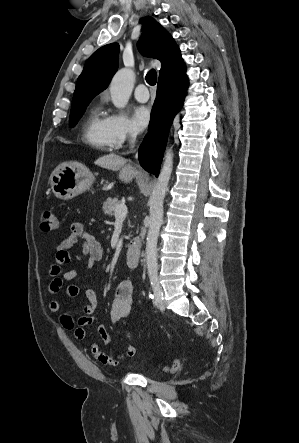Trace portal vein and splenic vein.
I'll return each mask as SVG.
<instances>
[{
    "label": "portal vein and splenic vein",
    "mask_w": 299,
    "mask_h": 443,
    "mask_svg": "<svg viewBox=\"0 0 299 443\" xmlns=\"http://www.w3.org/2000/svg\"><path fill=\"white\" fill-rule=\"evenodd\" d=\"M127 215V206L125 204H119L115 208L114 216L116 220H124Z\"/></svg>",
    "instance_id": "portal-vein-and-splenic-vein-1"
}]
</instances>
